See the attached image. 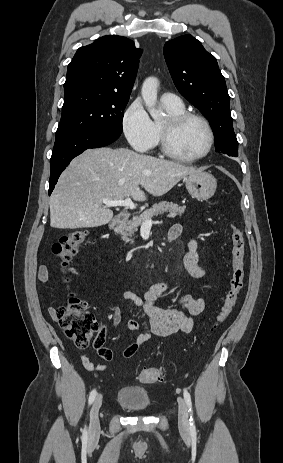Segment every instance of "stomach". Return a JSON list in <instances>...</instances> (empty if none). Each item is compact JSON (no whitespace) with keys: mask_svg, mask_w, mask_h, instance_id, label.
Listing matches in <instances>:
<instances>
[{"mask_svg":"<svg viewBox=\"0 0 283 463\" xmlns=\"http://www.w3.org/2000/svg\"><path fill=\"white\" fill-rule=\"evenodd\" d=\"M185 186L192 198L199 201L210 199L217 188L215 177L204 171H199L185 177Z\"/></svg>","mask_w":283,"mask_h":463,"instance_id":"obj_1","label":"stomach"}]
</instances>
